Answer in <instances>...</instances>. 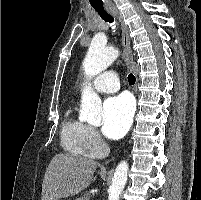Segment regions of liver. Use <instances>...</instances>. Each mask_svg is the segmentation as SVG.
I'll list each match as a JSON object with an SVG mask.
<instances>
[{
  "instance_id": "obj_1",
  "label": "liver",
  "mask_w": 201,
  "mask_h": 200,
  "mask_svg": "<svg viewBox=\"0 0 201 200\" xmlns=\"http://www.w3.org/2000/svg\"><path fill=\"white\" fill-rule=\"evenodd\" d=\"M97 162L77 155L56 154L44 175L41 200H58L74 196L92 181Z\"/></svg>"
}]
</instances>
